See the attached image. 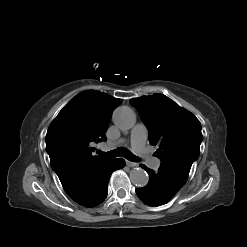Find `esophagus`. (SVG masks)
<instances>
[{
	"instance_id": "obj_1",
	"label": "esophagus",
	"mask_w": 247,
	"mask_h": 247,
	"mask_svg": "<svg viewBox=\"0 0 247 247\" xmlns=\"http://www.w3.org/2000/svg\"><path fill=\"white\" fill-rule=\"evenodd\" d=\"M126 165L129 166V167H135L137 165V163L129 161V160H126Z\"/></svg>"
}]
</instances>
